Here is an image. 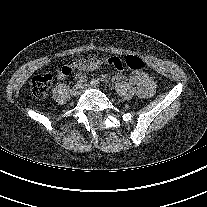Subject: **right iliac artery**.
<instances>
[{"mask_svg": "<svg viewBox=\"0 0 207 207\" xmlns=\"http://www.w3.org/2000/svg\"><path fill=\"white\" fill-rule=\"evenodd\" d=\"M79 84H81V85H85L86 83H87V77L86 76H82V77H80V79H79Z\"/></svg>", "mask_w": 207, "mask_h": 207, "instance_id": "obj_1", "label": "right iliac artery"}]
</instances>
